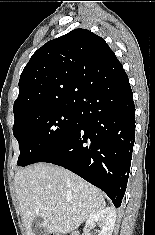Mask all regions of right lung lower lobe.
<instances>
[{"label":"right lung lower lobe","instance_id":"obj_1","mask_svg":"<svg viewBox=\"0 0 155 235\" xmlns=\"http://www.w3.org/2000/svg\"><path fill=\"white\" fill-rule=\"evenodd\" d=\"M127 74L100 83L78 103L74 134L40 162L62 166L121 205L135 140V105Z\"/></svg>","mask_w":155,"mask_h":235}]
</instances>
